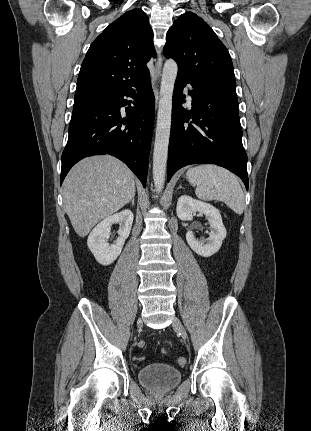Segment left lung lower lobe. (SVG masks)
<instances>
[{
  "label": "left lung lower lobe",
  "mask_w": 311,
  "mask_h": 431,
  "mask_svg": "<svg viewBox=\"0 0 311 431\" xmlns=\"http://www.w3.org/2000/svg\"><path fill=\"white\" fill-rule=\"evenodd\" d=\"M193 87L191 112L182 107L183 88ZM195 163L222 166L239 176L248 190L247 155L242 145L236 89L208 86L177 75L173 93L168 181Z\"/></svg>",
  "instance_id": "obj_1"
}]
</instances>
